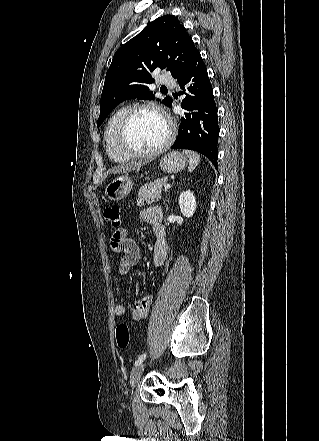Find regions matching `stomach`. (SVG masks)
<instances>
[{"label": "stomach", "instance_id": "obj_1", "mask_svg": "<svg viewBox=\"0 0 319 441\" xmlns=\"http://www.w3.org/2000/svg\"><path fill=\"white\" fill-rule=\"evenodd\" d=\"M186 156L178 151H173L162 157L160 168L167 173L179 172L185 168ZM133 186L132 179L128 175H119L111 180L105 188V196L109 200L118 201L125 198Z\"/></svg>", "mask_w": 319, "mask_h": 441}]
</instances>
